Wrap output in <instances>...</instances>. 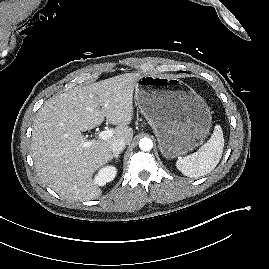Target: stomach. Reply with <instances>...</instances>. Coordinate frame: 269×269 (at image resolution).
<instances>
[{"instance_id":"obj_1","label":"stomach","mask_w":269,"mask_h":269,"mask_svg":"<svg viewBox=\"0 0 269 269\" xmlns=\"http://www.w3.org/2000/svg\"><path fill=\"white\" fill-rule=\"evenodd\" d=\"M135 99L168 159L195 149L209 132V107L179 79L143 75L136 82Z\"/></svg>"}]
</instances>
